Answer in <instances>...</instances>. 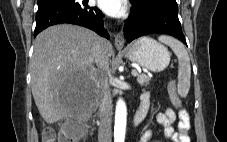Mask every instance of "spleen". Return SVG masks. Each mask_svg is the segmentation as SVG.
<instances>
[{"instance_id":"1","label":"spleen","mask_w":227,"mask_h":142,"mask_svg":"<svg viewBox=\"0 0 227 142\" xmlns=\"http://www.w3.org/2000/svg\"><path fill=\"white\" fill-rule=\"evenodd\" d=\"M158 40L168 45L178 58V94L186 97L190 89L191 66L188 53L184 45L169 36H160Z\"/></svg>"}]
</instances>
